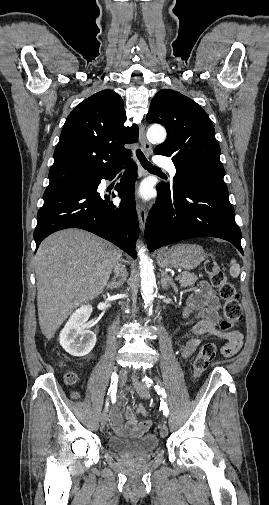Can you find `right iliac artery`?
<instances>
[{
  "instance_id": "right-iliac-artery-1",
  "label": "right iliac artery",
  "mask_w": 269,
  "mask_h": 505,
  "mask_svg": "<svg viewBox=\"0 0 269 505\" xmlns=\"http://www.w3.org/2000/svg\"><path fill=\"white\" fill-rule=\"evenodd\" d=\"M117 384H118V376L115 372L112 373V376H111V385H110V388L108 390V396L109 397H115L116 396V392H117ZM109 406V402L108 400L106 401V409L108 408Z\"/></svg>"
}]
</instances>
